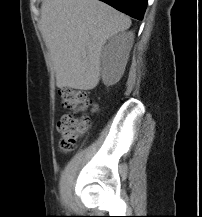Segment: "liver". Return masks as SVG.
<instances>
[{
  "mask_svg": "<svg viewBox=\"0 0 202 217\" xmlns=\"http://www.w3.org/2000/svg\"><path fill=\"white\" fill-rule=\"evenodd\" d=\"M39 24L57 87L91 90L99 83L104 44L131 20L99 0H44Z\"/></svg>",
  "mask_w": 202,
  "mask_h": 217,
  "instance_id": "1",
  "label": "liver"
}]
</instances>
